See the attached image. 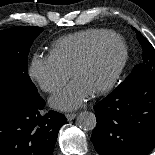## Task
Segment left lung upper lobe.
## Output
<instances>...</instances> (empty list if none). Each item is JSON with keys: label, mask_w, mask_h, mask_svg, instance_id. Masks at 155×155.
I'll use <instances>...</instances> for the list:
<instances>
[{"label": "left lung upper lobe", "mask_w": 155, "mask_h": 155, "mask_svg": "<svg viewBox=\"0 0 155 155\" xmlns=\"http://www.w3.org/2000/svg\"><path fill=\"white\" fill-rule=\"evenodd\" d=\"M136 32L137 39L142 46V62L138 65H135L131 74L126 78V81L133 80L138 78L148 72L155 71V49L151 45V43L142 36V34L133 28Z\"/></svg>", "instance_id": "1"}]
</instances>
